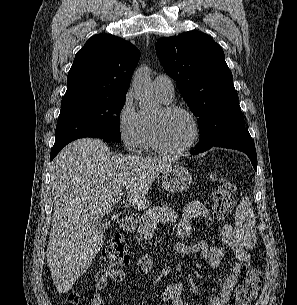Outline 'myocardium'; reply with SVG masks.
Returning a JSON list of instances; mask_svg holds the SVG:
<instances>
[{
    "label": "myocardium",
    "instance_id": "f54148a6",
    "mask_svg": "<svg viewBox=\"0 0 297 305\" xmlns=\"http://www.w3.org/2000/svg\"><path fill=\"white\" fill-rule=\"evenodd\" d=\"M161 110L164 114L182 113L186 115L192 122L193 136L187 144L177 148H169L160 140L157 122L152 118L150 120V143L152 148L164 155H178L190 150L200 137V124L196 115L191 110L175 104L165 105Z\"/></svg>",
    "mask_w": 297,
    "mask_h": 305
}]
</instances>
